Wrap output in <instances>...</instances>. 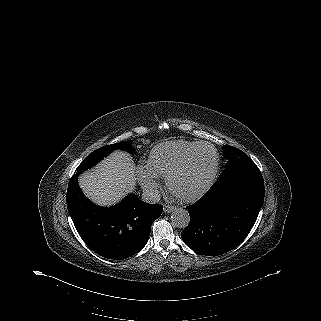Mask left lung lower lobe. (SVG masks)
<instances>
[{
    "instance_id": "1",
    "label": "left lung lower lobe",
    "mask_w": 321,
    "mask_h": 321,
    "mask_svg": "<svg viewBox=\"0 0 321 321\" xmlns=\"http://www.w3.org/2000/svg\"><path fill=\"white\" fill-rule=\"evenodd\" d=\"M263 201L264 181L256 164L249 159L228 165L207 193L187 207L190 223L181 237L199 254H224L249 234Z\"/></svg>"
}]
</instances>
